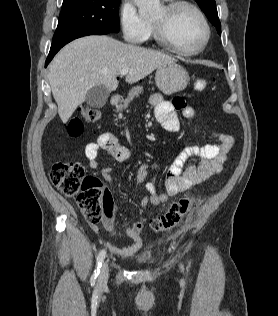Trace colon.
Returning a JSON list of instances; mask_svg holds the SVG:
<instances>
[{"label": "colon", "mask_w": 278, "mask_h": 316, "mask_svg": "<svg viewBox=\"0 0 278 316\" xmlns=\"http://www.w3.org/2000/svg\"><path fill=\"white\" fill-rule=\"evenodd\" d=\"M207 82L199 79L194 83V89L202 91ZM83 119L94 123L100 119L97 109L82 108ZM71 136H79L83 132V123L79 118L72 119L68 124ZM50 181L65 196L74 199L88 223L98 224L103 217L104 188L99 179L87 176L83 166L78 162H57L50 170ZM194 205L190 196H185L174 202L163 214L153 218L150 222L155 232H164L176 227L189 213Z\"/></svg>", "instance_id": "obj_1"}]
</instances>
